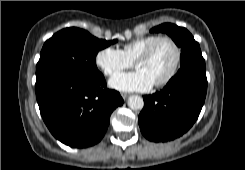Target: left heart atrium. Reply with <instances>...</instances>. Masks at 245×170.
Instances as JSON below:
<instances>
[{
    "mask_svg": "<svg viewBox=\"0 0 245 170\" xmlns=\"http://www.w3.org/2000/svg\"><path fill=\"white\" fill-rule=\"evenodd\" d=\"M110 85L122 91H145L152 87L153 81L142 70L120 73L110 80Z\"/></svg>",
    "mask_w": 245,
    "mask_h": 170,
    "instance_id": "obj_1",
    "label": "left heart atrium"
}]
</instances>
